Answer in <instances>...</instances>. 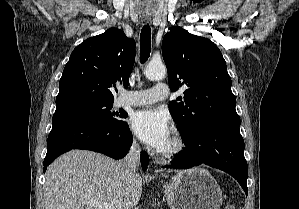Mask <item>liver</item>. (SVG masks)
Instances as JSON below:
<instances>
[{
	"label": "liver",
	"instance_id": "obj_1",
	"mask_svg": "<svg viewBox=\"0 0 299 209\" xmlns=\"http://www.w3.org/2000/svg\"><path fill=\"white\" fill-rule=\"evenodd\" d=\"M119 161L83 150H71L47 169L45 209H95L92 200L107 202L114 209L126 203L135 207L142 194V177L129 181Z\"/></svg>",
	"mask_w": 299,
	"mask_h": 209
}]
</instances>
